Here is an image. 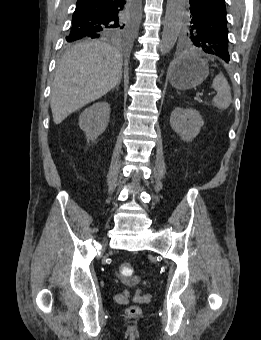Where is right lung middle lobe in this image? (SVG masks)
I'll return each instance as SVG.
<instances>
[{
    "label": "right lung middle lobe",
    "instance_id": "1",
    "mask_svg": "<svg viewBox=\"0 0 261 340\" xmlns=\"http://www.w3.org/2000/svg\"><path fill=\"white\" fill-rule=\"evenodd\" d=\"M137 13V1L133 0L122 12L120 18L114 20L107 27L102 29L94 37H87L78 32H71L66 37L67 42H75L83 38H101V39H112V40H124L129 37L133 30V25Z\"/></svg>",
    "mask_w": 261,
    "mask_h": 340
}]
</instances>
